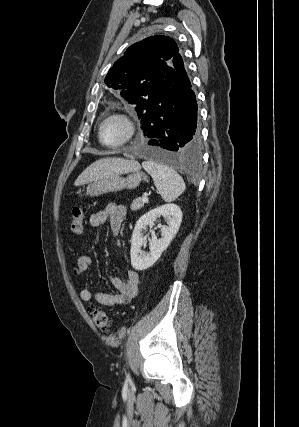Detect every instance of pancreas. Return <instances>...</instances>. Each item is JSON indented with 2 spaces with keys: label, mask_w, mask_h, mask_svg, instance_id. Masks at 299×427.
<instances>
[{
  "label": "pancreas",
  "mask_w": 299,
  "mask_h": 427,
  "mask_svg": "<svg viewBox=\"0 0 299 427\" xmlns=\"http://www.w3.org/2000/svg\"><path fill=\"white\" fill-rule=\"evenodd\" d=\"M145 203H147V202H143L141 198H137V199L133 200L130 208L132 211H137V210L143 208Z\"/></svg>",
  "instance_id": "obj_1"
}]
</instances>
